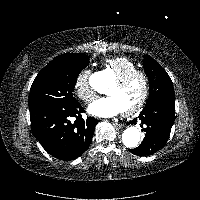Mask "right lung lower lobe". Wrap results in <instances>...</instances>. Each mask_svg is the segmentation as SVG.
I'll list each match as a JSON object with an SVG mask.
<instances>
[{"label":"right lung lower lobe","instance_id":"obj_1","mask_svg":"<svg viewBox=\"0 0 200 200\" xmlns=\"http://www.w3.org/2000/svg\"><path fill=\"white\" fill-rule=\"evenodd\" d=\"M31 129L43 148L52 156L69 161L89 147L98 120L82 119V106L49 104L29 108ZM75 118L74 122L71 119Z\"/></svg>","mask_w":200,"mask_h":200}]
</instances>
